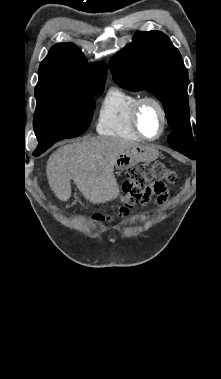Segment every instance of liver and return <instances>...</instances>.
<instances>
[{"label":"liver","mask_w":221,"mask_h":379,"mask_svg":"<svg viewBox=\"0 0 221 379\" xmlns=\"http://www.w3.org/2000/svg\"><path fill=\"white\" fill-rule=\"evenodd\" d=\"M138 144L110 137H93L67 144L52 153L47 161L49 185L58 199L71 197L73 180L83 196L93 204L106 203L118 196L114 175L118 156Z\"/></svg>","instance_id":"liver-1"}]
</instances>
